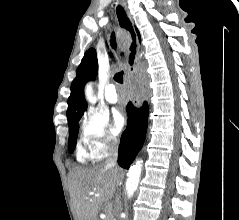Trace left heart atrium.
<instances>
[{"label":"left heart atrium","instance_id":"obj_1","mask_svg":"<svg viewBox=\"0 0 239 220\" xmlns=\"http://www.w3.org/2000/svg\"><path fill=\"white\" fill-rule=\"evenodd\" d=\"M125 124V119L119 111L113 112V123H112V133L117 135L123 128Z\"/></svg>","mask_w":239,"mask_h":220}]
</instances>
